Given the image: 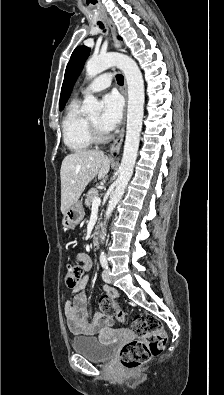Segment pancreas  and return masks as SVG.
Masks as SVG:
<instances>
[{
  "mask_svg": "<svg viewBox=\"0 0 224 395\" xmlns=\"http://www.w3.org/2000/svg\"><path fill=\"white\" fill-rule=\"evenodd\" d=\"M95 196H98V190L97 189H90L87 194H86V198H85V205L86 207L90 208L92 205V200Z\"/></svg>",
  "mask_w": 224,
  "mask_h": 395,
  "instance_id": "cf45deb5",
  "label": "pancreas"
}]
</instances>
